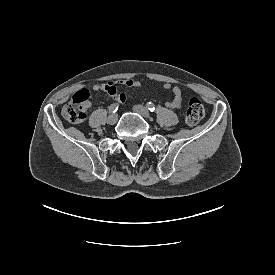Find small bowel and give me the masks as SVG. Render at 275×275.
<instances>
[{"label":"small bowel","instance_id":"small-bowel-1","mask_svg":"<svg viewBox=\"0 0 275 275\" xmlns=\"http://www.w3.org/2000/svg\"><path fill=\"white\" fill-rule=\"evenodd\" d=\"M117 84L123 85L126 87H134V88H140L143 85L142 82L137 79L126 78V79L119 80L117 82L109 81L107 83L95 84L93 86V90L95 92H98V91L106 92L114 100L121 103L126 100V96H125V94L118 91ZM163 89L170 92L173 96V98L171 100L165 102V106L170 109L181 108L184 99H183V95H182L180 88L177 86L171 85L169 83H166L163 85Z\"/></svg>","mask_w":275,"mask_h":275}]
</instances>
